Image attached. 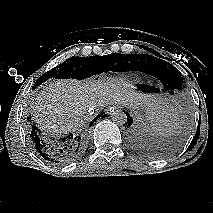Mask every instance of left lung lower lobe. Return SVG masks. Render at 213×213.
Wrapping results in <instances>:
<instances>
[{
    "instance_id": "0a47b994",
    "label": "left lung lower lobe",
    "mask_w": 213,
    "mask_h": 213,
    "mask_svg": "<svg viewBox=\"0 0 213 213\" xmlns=\"http://www.w3.org/2000/svg\"><path fill=\"white\" fill-rule=\"evenodd\" d=\"M164 85V90H170L173 92V86L166 80H160ZM143 90L145 92L151 93L155 92L157 89L153 86H144ZM125 112V111H124ZM127 115V127L129 128L132 125L133 119L129 115L128 112H125ZM130 142L132 146L139 151L141 154L146 155L148 157H158L159 151L155 148V146L142 134L136 132L130 135Z\"/></svg>"
}]
</instances>
